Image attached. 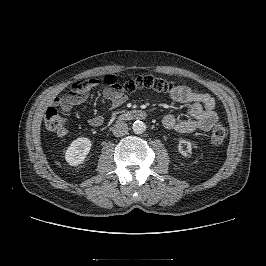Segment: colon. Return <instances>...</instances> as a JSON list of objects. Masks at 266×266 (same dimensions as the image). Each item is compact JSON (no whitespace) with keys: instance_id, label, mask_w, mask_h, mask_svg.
<instances>
[{"instance_id":"obj_1","label":"colon","mask_w":266,"mask_h":266,"mask_svg":"<svg viewBox=\"0 0 266 266\" xmlns=\"http://www.w3.org/2000/svg\"><path fill=\"white\" fill-rule=\"evenodd\" d=\"M108 86L120 92H133L137 89H152L157 92H169L173 89V83L167 79L156 76H139L120 83L116 75H106L99 78H85L76 81L71 85V92L85 94L95 86ZM45 127L51 132L62 133L65 131V122L58 110L49 107L45 113ZM228 134L225 125L219 123L215 125L210 134V141L213 145L223 144Z\"/></svg>"}]
</instances>
